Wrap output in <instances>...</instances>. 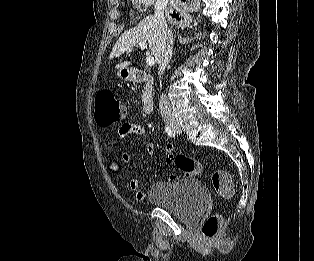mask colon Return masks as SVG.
I'll return each instance as SVG.
<instances>
[{
	"label": "colon",
	"mask_w": 314,
	"mask_h": 261,
	"mask_svg": "<svg viewBox=\"0 0 314 261\" xmlns=\"http://www.w3.org/2000/svg\"><path fill=\"white\" fill-rule=\"evenodd\" d=\"M95 120L101 127H108L120 122L125 116V106L113 91L104 89L97 93L95 98ZM166 160L174 164L185 177L200 176L206 173L204 167L193 158L186 155H168ZM211 183L223 198H230L234 193V185L230 173L226 170H216L210 175ZM221 216L210 215L202 225L201 233L205 238L217 236L220 229Z\"/></svg>",
	"instance_id": "obj_1"
}]
</instances>
